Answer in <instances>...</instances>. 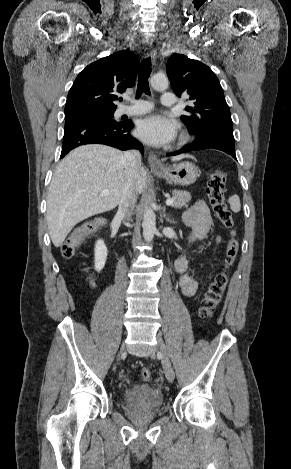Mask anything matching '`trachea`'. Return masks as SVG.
<instances>
[{
  "mask_svg": "<svg viewBox=\"0 0 291 469\" xmlns=\"http://www.w3.org/2000/svg\"><path fill=\"white\" fill-rule=\"evenodd\" d=\"M150 74H151V58L148 57L146 59H143L141 63L139 76H138L136 98H139L142 93H145L147 95L150 94L149 83H148Z\"/></svg>",
  "mask_w": 291,
  "mask_h": 469,
  "instance_id": "obj_1",
  "label": "trachea"
}]
</instances>
